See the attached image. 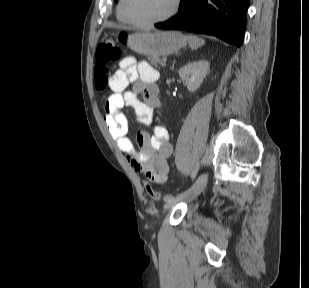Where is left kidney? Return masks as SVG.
<instances>
[{"mask_svg": "<svg viewBox=\"0 0 309 288\" xmlns=\"http://www.w3.org/2000/svg\"><path fill=\"white\" fill-rule=\"evenodd\" d=\"M210 64L206 60H198L186 64L179 70V76L190 92H195L209 72Z\"/></svg>", "mask_w": 309, "mask_h": 288, "instance_id": "5707ae66", "label": "left kidney"}]
</instances>
